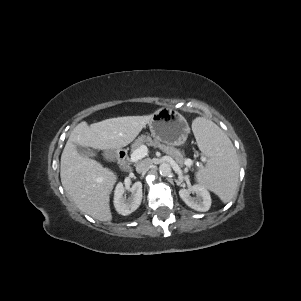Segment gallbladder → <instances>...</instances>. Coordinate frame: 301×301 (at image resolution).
<instances>
[{"label":"gallbladder","mask_w":301,"mask_h":301,"mask_svg":"<svg viewBox=\"0 0 301 301\" xmlns=\"http://www.w3.org/2000/svg\"><path fill=\"white\" fill-rule=\"evenodd\" d=\"M76 149L78 153L82 156L93 157L94 153L89 147H84L80 145H76Z\"/></svg>","instance_id":"bac80fb5"}]
</instances>
